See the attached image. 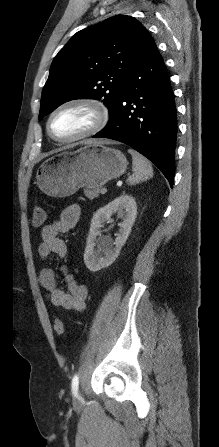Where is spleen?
Returning a JSON list of instances; mask_svg holds the SVG:
<instances>
[{
	"label": "spleen",
	"instance_id": "3e777b00",
	"mask_svg": "<svg viewBox=\"0 0 219 447\" xmlns=\"http://www.w3.org/2000/svg\"><path fill=\"white\" fill-rule=\"evenodd\" d=\"M132 155L133 174L128 177L127 183L130 185L138 184L152 177L153 169L151 163L133 149L129 150Z\"/></svg>",
	"mask_w": 219,
	"mask_h": 447
}]
</instances>
